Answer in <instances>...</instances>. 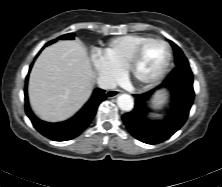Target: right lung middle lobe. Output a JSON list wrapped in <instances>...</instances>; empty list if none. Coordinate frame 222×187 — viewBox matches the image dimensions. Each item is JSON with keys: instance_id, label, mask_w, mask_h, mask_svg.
Segmentation results:
<instances>
[{"instance_id": "right-lung-middle-lobe-1", "label": "right lung middle lobe", "mask_w": 222, "mask_h": 187, "mask_svg": "<svg viewBox=\"0 0 222 187\" xmlns=\"http://www.w3.org/2000/svg\"><path fill=\"white\" fill-rule=\"evenodd\" d=\"M57 39H60V40H72L74 39V34L70 33V34H65V35H62L60 37H58ZM57 40H52L50 41L49 43H47L46 45H50L54 42H56Z\"/></svg>"}]
</instances>
